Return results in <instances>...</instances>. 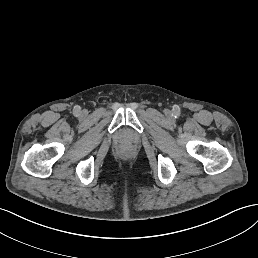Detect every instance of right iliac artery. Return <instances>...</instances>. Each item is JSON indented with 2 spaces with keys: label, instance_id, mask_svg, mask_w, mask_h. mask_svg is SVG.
<instances>
[{
  "label": "right iliac artery",
  "instance_id": "right-iliac-artery-1",
  "mask_svg": "<svg viewBox=\"0 0 258 258\" xmlns=\"http://www.w3.org/2000/svg\"><path fill=\"white\" fill-rule=\"evenodd\" d=\"M80 113H81V107L78 106V105L74 106V108H73V115L78 117L80 115Z\"/></svg>",
  "mask_w": 258,
  "mask_h": 258
}]
</instances>
